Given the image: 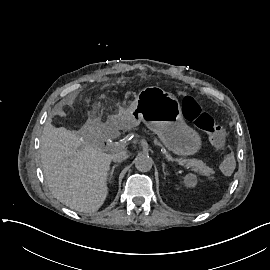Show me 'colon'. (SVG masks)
Segmentation results:
<instances>
[{
  "instance_id": "1",
  "label": "colon",
  "mask_w": 270,
  "mask_h": 270,
  "mask_svg": "<svg viewBox=\"0 0 270 270\" xmlns=\"http://www.w3.org/2000/svg\"><path fill=\"white\" fill-rule=\"evenodd\" d=\"M181 107L185 118L197 128L206 132L211 144L223 151L222 170L231 174L235 170V155L226 146V134L222 127L195 102L191 96L181 99Z\"/></svg>"
}]
</instances>
